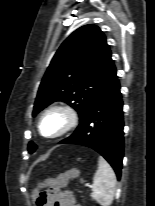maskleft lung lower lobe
Listing matches in <instances>:
<instances>
[{"label": "left lung lower lobe", "instance_id": "0a47b994", "mask_svg": "<svg viewBox=\"0 0 155 206\" xmlns=\"http://www.w3.org/2000/svg\"><path fill=\"white\" fill-rule=\"evenodd\" d=\"M120 84L117 75L93 99L75 132L60 144H76L94 149L121 177L123 159V111Z\"/></svg>", "mask_w": 155, "mask_h": 206}]
</instances>
